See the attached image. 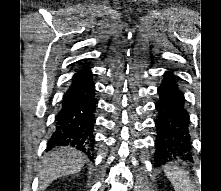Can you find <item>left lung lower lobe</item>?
<instances>
[{
    "instance_id": "left-lung-lower-lobe-1",
    "label": "left lung lower lobe",
    "mask_w": 221,
    "mask_h": 191,
    "mask_svg": "<svg viewBox=\"0 0 221 191\" xmlns=\"http://www.w3.org/2000/svg\"><path fill=\"white\" fill-rule=\"evenodd\" d=\"M179 78L172 71H166L158 88L159 101L155 108L157 136L154 159L156 163L177 158L192 160L190 116L186 109L184 93L178 84Z\"/></svg>"
}]
</instances>
